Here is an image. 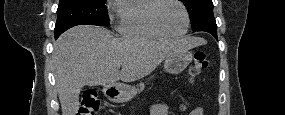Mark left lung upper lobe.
<instances>
[{"mask_svg": "<svg viewBox=\"0 0 285 115\" xmlns=\"http://www.w3.org/2000/svg\"><path fill=\"white\" fill-rule=\"evenodd\" d=\"M186 6L193 31L208 23L215 22L212 0H181Z\"/></svg>", "mask_w": 285, "mask_h": 115, "instance_id": "1", "label": "left lung upper lobe"}]
</instances>
